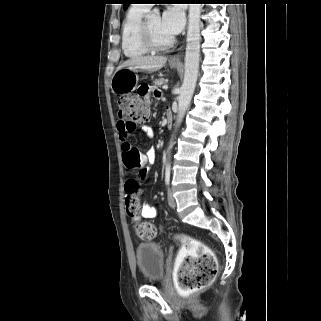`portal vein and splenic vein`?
<instances>
[{
	"instance_id": "portal-vein-and-splenic-vein-1",
	"label": "portal vein and splenic vein",
	"mask_w": 321,
	"mask_h": 321,
	"mask_svg": "<svg viewBox=\"0 0 321 321\" xmlns=\"http://www.w3.org/2000/svg\"><path fill=\"white\" fill-rule=\"evenodd\" d=\"M162 88H163L164 90H167V89H168V85H164Z\"/></svg>"
}]
</instances>
